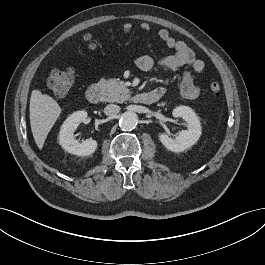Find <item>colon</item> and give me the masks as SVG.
<instances>
[{
  "label": "colon",
  "instance_id": "1",
  "mask_svg": "<svg viewBox=\"0 0 265 265\" xmlns=\"http://www.w3.org/2000/svg\"><path fill=\"white\" fill-rule=\"evenodd\" d=\"M85 42L88 46L93 45V39L90 35L85 37ZM74 83V74L70 70H53L51 71L47 85L53 95L57 98L66 97ZM222 87L218 82L210 83L208 92L211 96H219L221 94Z\"/></svg>",
  "mask_w": 265,
  "mask_h": 265
}]
</instances>
